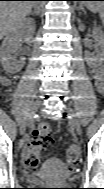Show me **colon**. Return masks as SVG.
Masks as SVG:
<instances>
[{
  "mask_svg": "<svg viewBox=\"0 0 104 189\" xmlns=\"http://www.w3.org/2000/svg\"><path fill=\"white\" fill-rule=\"evenodd\" d=\"M52 129L47 123H42L32 133V140L26 152V165L30 169H36L40 163L41 155L47 144L51 141ZM79 149L71 144L66 151V159L70 165H75L79 160Z\"/></svg>",
  "mask_w": 104,
  "mask_h": 189,
  "instance_id": "1",
  "label": "colon"
}]
</instances>
